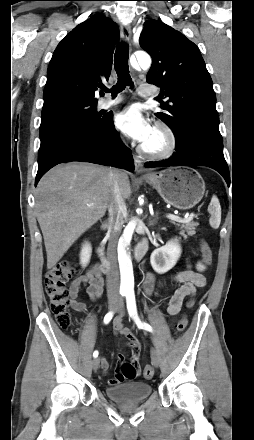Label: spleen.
<instances>
[{"label":"spleen","mask_w":254,"mask_h":440,"mask_svg":"<svg viewBox=\"0 0 254 440\" xmlns=\"http://www.w3.org/2000/svg\"><path fill=\"white\" fill-rule=\"evenodd\" d=\"M208 211L211 214L210 225L212 228L217 229L221 222V207L219 200L215 195H213L211 199Z\"/></svg>","instance_id":"1"}]
</instances>
